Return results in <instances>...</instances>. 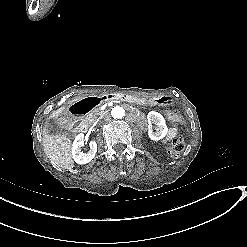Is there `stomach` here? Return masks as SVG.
I'll return each mask as SVG.
<instances>
[{"instance_id": "obj_1", "label": "stomach", "mask_w": 247, "mask_h": 247, "mask_svg": "<svg viewBox=\"0 0 247 247\" xmlns=\"http://www.w3.org/2000/svg\"><path fill=\"white\" fill-rule=\"evenodd\" d=\"M145 102L150 104V105H160V106L174 105V100L170 96L154 97V98H151Z\"/></svg>"}]
</instances>
